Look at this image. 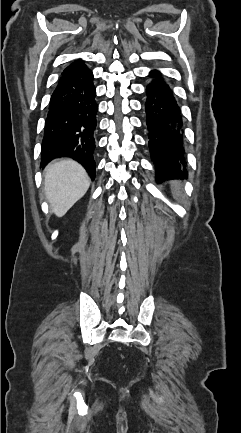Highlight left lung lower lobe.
<instances>
[{"label": "left lung lower lobe", "mask_w": 241, "mask_h": 433, "mask_svg": "<svg viewBox=\"0 0 241 433\" xmlns=\"http://www.w3.org/2000/svg\"><path fill=\"white\" fill-rule=\"evenodd\" d=\"M146 87L145 114L151 159L156 180L187 177L183 115L170 86L157 70Z\"/></svg>", "instance_id": "0a47b994"}]
</instances>
